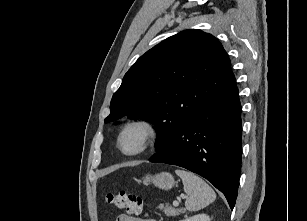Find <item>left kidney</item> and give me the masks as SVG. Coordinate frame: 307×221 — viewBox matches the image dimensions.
<instances>
[{"label":"left kidney","instance_id":"obj_1","mask_svg":"<svg viewBox=\"0 0 307 221\" xmlns=\"http://www.w3.org/2000/svg\"><path fill=\"white\" fill-rule=\"evenodd\" d=\"M180 221H210V217L206 214H198Z\"/></svg>","mask_w":307,"mask_h":221}]
</instances>
